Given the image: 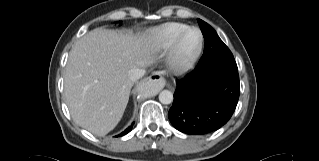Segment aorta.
<instances>
[{"mask_svg":"<svg viewBox=\"0 0 319 161\" xmlns=\"http://www.w3.org/2000/svg\"><path fill=\"white\" fill-rule=\"evenodd\" d=\"M145 92V91H144ZM159 101L162 104H170L173 101V94L169 90H163L159 94Z\"/></svg>","mask_w":319,"mask_h":161,"instance_id":"aorta-1","label":"aorta"}]
</instances>
